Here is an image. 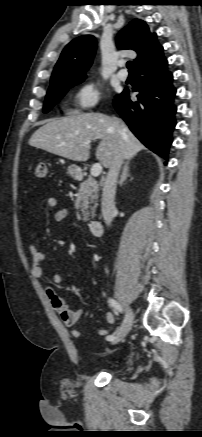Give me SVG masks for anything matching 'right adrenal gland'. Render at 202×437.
<instances>
[{
	"label": "right adrenal gland",
	"instance_id": "right-adrenal-gland-1",
	"mask_svg": "<svg viewBox=\"0 0 202 437\" xmlns=\"http://www.w3.org/2000/svg\"><path fill=\"white\" fill-rule=\"evenodd\" d=\"M129 163H130V160H127L125 163V166L123 168V172H122L121 178L119 180L120 186H122L123 183L126 181V179L130 176L129 175Z\"/></svg>",
	"mask_w": 202,
	"mask_h": 437
}]
</instances>
